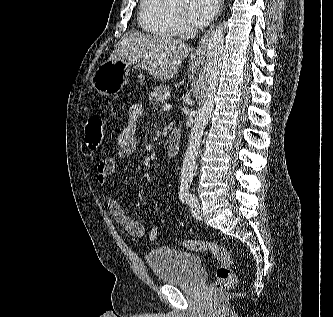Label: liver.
I'll use <instances>...</instances> for the list:
<instances>
[{
    "label": "liver",
    "mask_w": 333,
    "mask_h": 317,
    "mask_svg": "<svg viewBox=\"0 0 333 317\" xmlns=\"http://www.w3.org/2000/svg\"><path fill=\"white\" fill-rule=\"evenodd\" d=\"M190 50L181 39L135 32L116 45L109 61L135 64L156 79L168 81L177 73Z\"/></svg>",
    "instance_id": "6515ba94"
}]
</instances>
